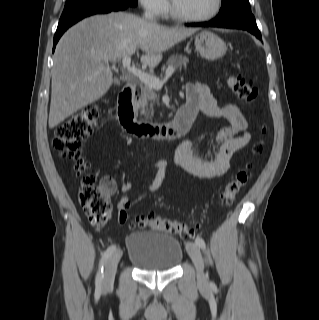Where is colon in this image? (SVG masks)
Returning <instances> with one entry per match:
<instances>
[{"instance_id": "5ec220e1", "label": "colon", "mask_w": 319, "mask_h": 320, "mask_svg": "<svg viewBox=\"0 0 319 320\" xmlns=\"http://www.w3.org/2000/svg\"><path fill=\"white\" fill-rule=\"evenodd\" d=\"M228 85L232 92L245 102H252L258 96V90L250 80L240 77H230ZM100 116L99 107L87 105L80 112L71 116L61 124L55 131L53 147L60 151L64 157L73 159L79 174L83 175L82 185L79 190V201L89 221L95 226H103L108 223L111 216V204L109 196L115 190V183L109 177L100 181L89 174V164L81 156L80 145L95 130ZM262 146L256 144L252 147L254 154H259ZM250 178L248 169H240L222 188L219 199L223 206H230L236 194L246 186ZM120 223L127 220V211L118 213ZM136 228H151L157 231H164L183 238L195 235L198 226H192L173 218L160 215L139 216L132 224Z\"/></svg>"}]
</instances>
